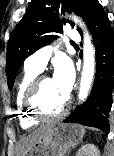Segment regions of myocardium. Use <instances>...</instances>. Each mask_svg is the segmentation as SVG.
Here are the masks:
<instances>
[{
    "mask_svg": "<svg viewBox=\"0 0 114 156\" xmlns=\"http://www.w3.org/2000/svg\"><path fill=\"white\" fill-rule=\"evenodd\" d=\"M49 78L50 77L45 74L38 75L31 82L25 94V98H24L25 107L28 110V112L31 114V116H33L38 120H52V119L61 118L67 114L70 106L71 100L68 97L63 107L58 112L47 113L42 110L39 104L40 90H41L42 83Z\"/></svg>",
    "mask_w": 114,
    "mask_h": 156,
    "instance_id": "1",
    "label": "myocardium"
}]
</instances>
